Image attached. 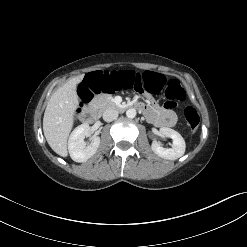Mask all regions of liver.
<instances>
[{
	"instance_id": "obj_1",
	"label": "liver",
	"mask_w": 247,
	"mask_h": 247,
	"mask_svg": "<svg viewBox=\"0 0 247 247\" xmlns=\"http://www.w3.org/2000/svg\"><path fill=\"white\" fill-rule=\"evenodd\" d=\"M82 78V75L74 77L58 88L49 99L44 113V136L53 151L62 157L68 155L67 140L79 103L76 86Z\"/></svg>"
}]
</instances>
